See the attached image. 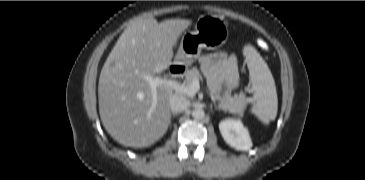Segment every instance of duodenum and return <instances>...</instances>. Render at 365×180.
I'll list each match as a JSON object with an SVG mask.
<instances>
[{
  "label": "duodenum",
  "instance_id": "1",
  "mask_svg": "<svg viewBox=\"0 0 365 180\" xmlns=\"http://www.w3.org/2000/svg\"><path fill=\"white\" fill-rule=\"evenodd\" d=\"M169 72L174 78H182L186 73V68L182 65H172Z\"/></svg>",
  "mask_w": 365,
  "mask_h": 180
}]
</instances>
